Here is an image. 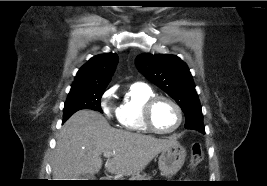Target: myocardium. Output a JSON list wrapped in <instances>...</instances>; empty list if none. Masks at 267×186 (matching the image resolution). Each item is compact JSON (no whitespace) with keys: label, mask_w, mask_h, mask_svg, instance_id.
I'll list each match as a JSON object with an SVG mask.
<instances>
[{"label":"myocardium","mask_w":267,"mask_h":186,"mask_svg":"<svg viewBox=\"0 0 267 186\" xmlns=\"http://www.w3.org/2000/svg\"><path fill=\"white\" fill-rule=\"evenodd\" d=\"M164 100L169 102L177 111L178 115V121L176 125L170 129V130H160L158 129L153 122V109L157 102ZM142 119L145 124V126L148 128L149 131L161 134V135H168L176 132L183 123V111L180 105L171 97L165 96V95H158L155 94L147 99V101L144 103L143 110H142Z\"/></svg>","instance_id":"1"}]
</instances>
